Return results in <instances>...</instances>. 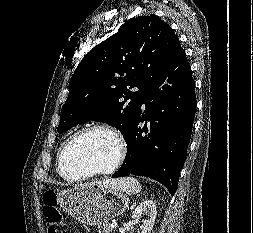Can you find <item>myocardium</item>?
I'll return each instance as SVG.
<instances>
[{"label": "myocardium", "instance_id": "f54148a6", "mask_svg": "<svg viewBox=\"0 0 253 233\" xmlns=\"http://www.w3.org/2000/svg\"><path fill=\"white\" fill-rule=\"evenodd\" d=\"M94 131H104V132L110 134L111 136H113V138L115 139V141L117 143L116 158L114 159L113 163L106 168L93 170V171L88 172V173L81 175V176H76V177L67 176L63 171V160H64V156L66 154V151L68 150L69 146L75 140L84 136L85 134H88V133L94 132ZM127 149H128V147H127V142H126L125 136L117 127L107 124V123L90 124L88 126L81 128L77 132H75L64 143V145L62 146V148L58 154L57 170H58V173L60 174V176L64 180L69 181V182H79V181H83V180L92 178L94 176L108 175V174L113 173L123 163V161L125 160V157L127 155Z\"/></svg>", "mask_w": 253, "mask_h": 233}]
</instances>
